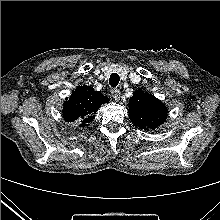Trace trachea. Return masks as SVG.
Returning <instances> with one entry per match:
<instances>
[{"label":"trachea","mask_w":220,"mask_h":220,"mask_svg":"<svg viewBox=\"0 0 220 220\" xmlns=\"http://www.w3.org/2000/svg\"><path fill=\"white\" fill-rule=\"evenodd\" d=\"M120 77L118 74L113 73L109 78V84L111 87L115 88L119 84Z\"/></svg>","instance_id":"obj_1"}]
</instances>
